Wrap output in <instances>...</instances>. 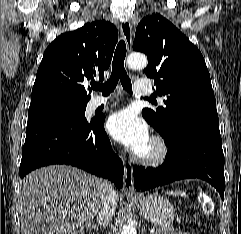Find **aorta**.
<instances>
[{"label": "aorta", "mask_w": 241, "mask_h": 234, "mask_svg": "<svg viewBox=\"0 0 241 234\" xmlns=\"http://www.w3.org/2000/svg\"><path fill=\"white\" fill-rule=\"evenodd\" d=\"M127 65L130 69H143L147 66V58L139 53L130 54L127 58ZM121 234H137V231L128 223L122 227Z\"/></svg>", "instance_id": "obj_1"}]
</instances>
